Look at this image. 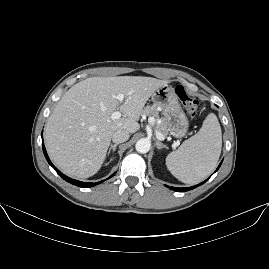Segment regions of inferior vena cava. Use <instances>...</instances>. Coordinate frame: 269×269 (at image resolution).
Masks as SVG:
<instances>
[{"instance_id":"602c4592","label":"inferior vena cava","mask_w":269,"mask_h":269,"mask_svg":"<svg viewBox=\"0 0 269 269\" xmlns=\"http://www.w3.org/2000/svg\"><path fill=\"white\" fill-rule=\"evenodd\" d=\"M111 139L115 144L124 143L128 141L129 133L125 130H117L112 134Z\"/></svg>"}]
</instances>
